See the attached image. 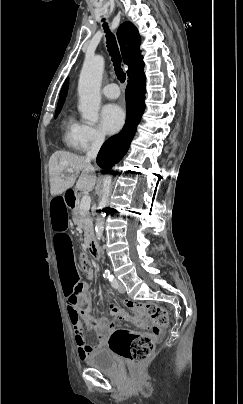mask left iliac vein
I'll return each mask as SVG.
<instances>
[{"mask_svg":"<svg viewBox=\"0 0 243 404\" xmlns=\"http://www.w3.org/2000/svg\"><path fill=\"white\" fill-rule=\"evenodd\" d=\"M117 290L120 293H125L126 289H125V286H124V284L122 282L117 281Z\"/></svg>","mask_w":243,"mask_h":404,"instance_id":"1","label":"left iliac vein"}]
</instances>
